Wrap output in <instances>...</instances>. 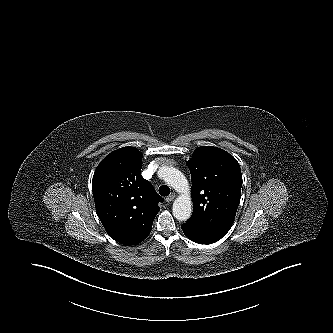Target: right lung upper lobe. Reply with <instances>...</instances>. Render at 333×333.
<instances>
[{
    "label": "right lung upper lobe",
    "instance_id": "right-lung-upper-lobe-1",
    "mask_svg": "<svg viewBox=\"0 0 333 333\" xmlns=\"http://www.w3.org/2000/svg\"><path fill=\"white\" fill-rule=\"evenodd\" d=\"M142 153L123 147L108 154L93 175L92 192L97 214L111 238L134 245L151 232L163 201L141 176Z\"/></svg>",
    "mask_w": 333,
    "mask_h": 333
}]
</instances>
